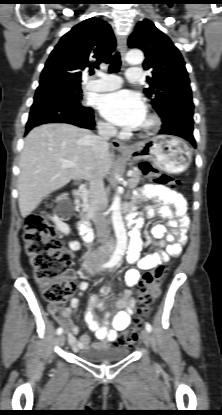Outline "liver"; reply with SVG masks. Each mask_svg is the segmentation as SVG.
<instances>
[{
    "mask_svg": "<svg viewBox=\"0 0 222 415\" xmlns=\"http://www.w3.org/2000/svg\"><path fill=\"white\" fill-rule=\"evenodd\" d=\"M88 130L65 123H51L32 129L25 138L19 161L18 203L21 216L26 218L50 193L71 180L89 179L99 170L106 176L112 165V153L95 159ZM62 160L76 166L63 168Z\"/></svg>",
    "mask_w": 222,
    "mask_h": 415,
    "instance_id": "1",
    "label": "liver"
}]
</instances>
